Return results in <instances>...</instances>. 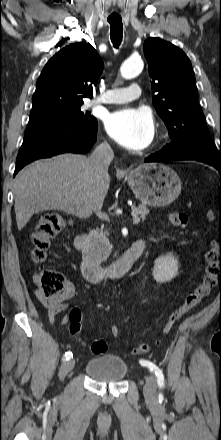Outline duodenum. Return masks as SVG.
I'll return each mask as SVG.
<instances>
[{
  "label": "duodenum",
  "mask_w": 221,
  "mask_h": 440,
  "mask_svg": "<svg viewBox=\"0 0 221 440\" xmlns=\"http://www.w3.org/2000/svg\"><path fill=\"white\" fill-rule=\"evenodd\" d=\"M87 241L88 237L85 233L77 234L74 241L75 248L83 250L86 247ZM144 248V240H136L122 257L107 267H102L95 261L85 258L80 264L81 273L86 280L91 282L119 279L131 269Z\"/></svg>",
  "instance_id": "duodenum-1"
}]
</instances>
